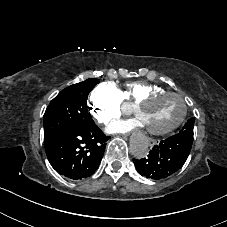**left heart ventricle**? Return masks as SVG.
<instances>
[{"label":"left heart ventricle","instance_id":"b2bd125f","mask_svg":"<svg viewBox=\"0 0 227 227\" xmlns=\"http://www.w3.org/2000/svg\"><path fill=\"white\" fill-rule=\"evenodd\" d=\"M182 112L180 99L164 95L139 107L136 110V122L145 130L162 131L175 124Z\"/></svg>","mask_w":227,"mask_h":227}]
</instances>
